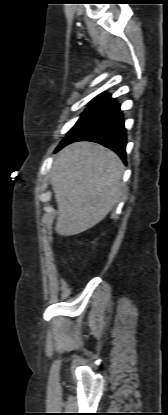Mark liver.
<instances>
[{
  "label": "liver",
  "instance_id": "6515ba94",
  "mask_svg": "<svg viewBox=\"0 0 168 415\" xmlns=\"http://www.w3.org/2000/svg\"><path fill=\"white\" fill-rule=\"evenodd\" d=\"M123 172L121 159L102 145L77 142L62 149L51 176L58 206L55 232L72 236L102 221L119 200Z\"/></svg>",
  "mask_w": 168,
  "mask_h": 415
}]
</instances>
